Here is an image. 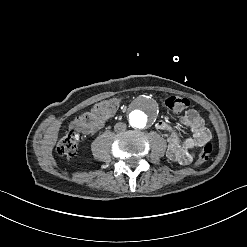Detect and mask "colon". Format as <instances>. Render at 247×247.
I'll return each mask as SVG.
<instances>
[{
    "mask_svg": "<svg viewBox=\"0 0 247 247\" xmlns=\"http://www.w3.org/2000/svg\"><path fill=\"white\" fill-rule=\"evenodd\" d=\"M124 103V98L122 96H105L104 100L98 101V107H93L91 109V114L96 116L97 122H108L109 116L115 115V109L117 105H122ZM189 106V101L185 97H168L165 100V107L179 114L182 110L187 109ZM81 120V118H78ZM86 123L90 122V118H85ZM78 133L74 130L67 131L58 144V152L64 156H73L78 150ZM212 143L211 141L205 142L201 151L199 152L198 159L195 163L196 167L203 166L210 158L212 153Z\"/></svg>",
    "mask_w": 247,
    "mask_h": 247,
    "instance_id": "1",
    "label": "colon"
}]
</instances>
